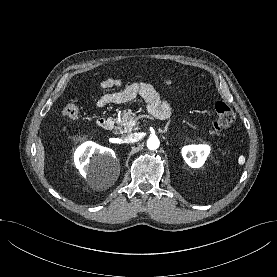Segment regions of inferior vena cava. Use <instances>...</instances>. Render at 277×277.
Returning <instances> with one entry per match:
<instances>
[{"mask_svg": "<svg viewBox=\"0 0 277 277\" xmlns=\"http://www.w3.org/2000/svg\"><path fill=\"white\" fill-rule=\"evenodd\" d=\"M123 140L125 143H134L138 141V136L136 134H128L123 136Z\"/></svg>", "mask_w": 277, "mask_h": 277, "instance_id": "602c4592", "label": "inferior vena cava"}]
</instances>
